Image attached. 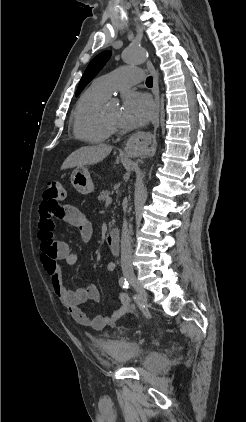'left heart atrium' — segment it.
I'll list each match as a JSON object with an SVG mask.
<instances>
[{
  "mask_svg": "<svg viewBox=\"0 0 246 422\" xmlns=\"http://www.w3.org/2000/svg\"><path fill=\"white\" fill-rule=\"evenodd\" d=\"M154 113L150 98L142 93L130 91L123 97L119 114V124L127 129L145 125Z\"/></svg>",
  "mask_w": 246,
  "mask_h": 422,
  "instance_id": "39dd6f15",
  "label": "left heart atrium"
}]
</instances>
